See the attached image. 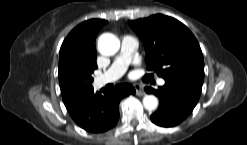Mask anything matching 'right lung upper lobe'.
Segmentation results:
<instances>
[{
	"label": "right lung upper lobe",
	"mask_w": 247,
	"mask_h": 145,
	"mask_svg": "<svg viewBox=\"0 0 247 145\" xmlns=\"http://www.w3.org/2000/svg\"><path fill=\"white\" fill-rule=\"evenodd\" d=\"M107 21L91 19L75 27L65 38L60 49L59 67L66 62L96 65V35Z\"/></svg>",
	"instance_id": "1"
}]
</instances>
